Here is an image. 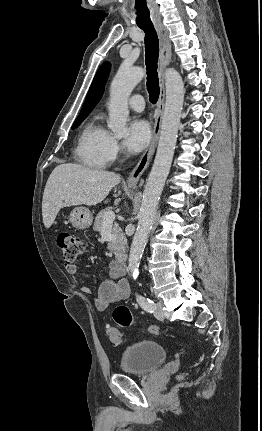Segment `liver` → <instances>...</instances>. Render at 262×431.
<instances>
[{
  "label": "liver",
  "instance_id": "1",
  "mask_svg": "<svg viewBox=\"0 0 262 431\" xmlns=\"http://www.w3.org/2000/svg\"><path fill=\"white\" fill-rule=\"evenodd\" d=\"M121 177L74 163L56 166L50 174L42 199L44 226L48 229L64 207L93 206L105 200ZM108 201H105L107 203Z\"/></svg>",
  "mask_w": 262,
  "mask_h": 431
}]
</instances>
